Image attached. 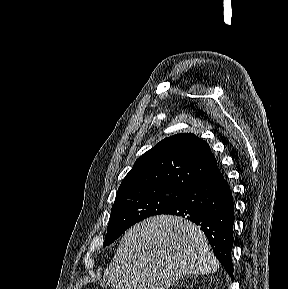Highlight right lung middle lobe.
<instances>
[{
  "label": "right lung middle lobe",
  "instance_id": "1",
  "mask_svg": "<svg viewBox=\"0 0 288 289\" xmlns=\"http://www.w3.org/2000/svg\"><path fill=\"white\" fill-rule=\"evenodd\" d=\"M184 193V189L173 187L143 188L117 193L103 244H111L136 222L163 214L179 201Z\"/></svg>",
  "mask_w": 288,
  "mask_h": 289
}]
</instances>
